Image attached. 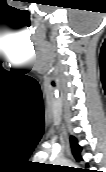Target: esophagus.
Here are the masks:
<instances>
[{"label": "esophagus", "instance_id": "1", "mask_svg": "<svg viewBox=\"0 0 106 172\" xmlns=\"http://www.w3.org/2000/svg\"><path fill=\"white\" fill-rule=\"evenodd\" d=\"M64 136H65V144H66V154L69 158H72L71 150L69 148L68 137L66 133V129H64Z\"/></svg>", "mask_w": 106, "mask_h": 172}]
</instances>
